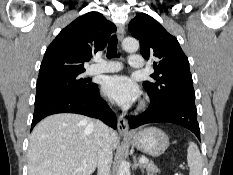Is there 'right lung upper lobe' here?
<instances>
[{
	"label": "right lung upper lobe",
	"mask_w": 233,
	"mask_h": 175,
	"mask_svg": "<svg viewBox=\"0 0 233 175\" xmlns=\"http://www.w3.org/2000/svg\"><path fill=\"white\" fill-rule=\"evenodd\" d=\"M116 26L98 12L78 17L48 46L39 76L84 72V62L105 48Z\"/></svg>",
	"instance_id": "1"
}]
</instances>
